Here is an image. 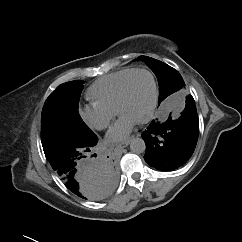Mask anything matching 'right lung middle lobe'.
<instances>
[{"label": "right lung middle lobe", "mask_w": 242, "mask_h": 242, "mask_svg": "<svg viewBox=\"0 0 242 242\" xmlns=\"http://www.w3.org/2000/svg\"><path fill=\"white\" fill-rule=\"evenodd\" d=\"M83 83L76 80L61 84L47 98L41 116V139L46 157L94 137L78 112Z\"/></svg>", "instance_id": "1"}]
</instances>
